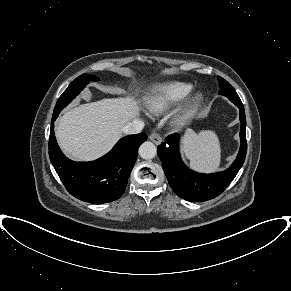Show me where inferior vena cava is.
<instances>
[{"label":"inferior vena cava","mask_w":291,"mask_h":291,"mask_svg":"<svg viewBox=\"0 0 291 291\" xmlns=\"http://www.w3.org/2000/svg\"><path fill=\"white\" fill-rule=\"evenodd\" d=\"M144 127V122L138 120V119H134L131 122L127 123L124 128L122 129V131L126 134V135H132V134H138L141 132V130Z\"/></svg>","instance_id":"obj_1"}]
</instances>
